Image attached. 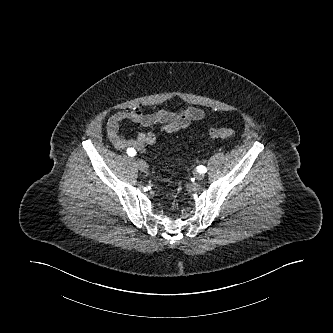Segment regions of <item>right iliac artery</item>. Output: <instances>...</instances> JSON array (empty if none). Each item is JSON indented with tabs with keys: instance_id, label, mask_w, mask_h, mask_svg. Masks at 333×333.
<instances>
[{
	"instance_id": "82829eb1",
	"label": "right iliac artery",
	"mask_w": 333,
	"mask_h": 333,
	"mask_svg": "<svg viewBox=\"0 0 333 333\" xmlns=\"http://www.w3.org/2000/svg\"><path fill=\"white\" fill-rule=\"evenodd\" d=\"M127 154L132 157V156L136 155V151L133 148H128L127 149Z\"/></svg>"
}]
</instances>
